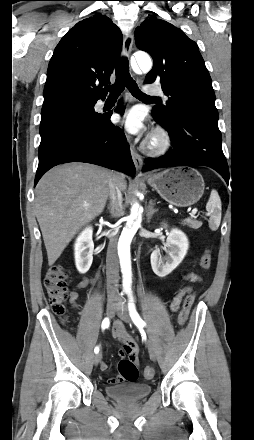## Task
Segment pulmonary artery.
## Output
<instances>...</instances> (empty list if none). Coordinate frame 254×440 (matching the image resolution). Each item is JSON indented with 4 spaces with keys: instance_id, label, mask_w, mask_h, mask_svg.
<instances>
[{
    "instance_id": "e3ab8cb5",
    "label": "pulmonary artery",
    "mask_w": 254,
    "mask_h": 440,
    "mask_svg": "<svg viewBox=\"0 0 254 440\" xmlns=\"http://www.w3.org/2000/svg\"><path fill=\"white\" fill-rule=\"evenodd\" d=\"M144 93L146 95H161V89L158 86H150V87H144ZM164 98H166V96L163 95Z\"/></svg>"
}]
</instances>
